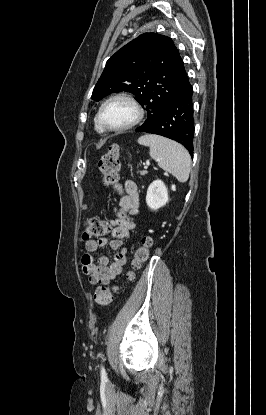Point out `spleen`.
Here are the masks:
<instances>
[{
  "mask_svg": "<svg viewBox=\"0 0 266 415\" xmlns=\"http://www.w3.org/2000/svg\"><path fill=\"white\" fill-rule=\"evenodd\" d=\"M140 145L149 146L150 156L166 172L172 174L179 182L188 180L191 171V157L179 143L165 137L146 134L138 139Z\"/></svg>",
  "mask_w": 266,
  "mask_h": 415,
  "instance_id": "spleen-1",
  "label": "spleen"
}]
</instances>
